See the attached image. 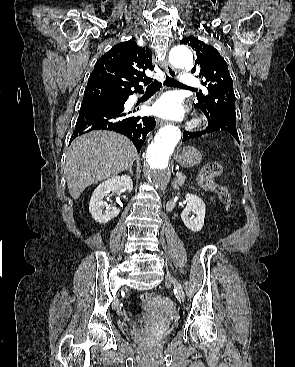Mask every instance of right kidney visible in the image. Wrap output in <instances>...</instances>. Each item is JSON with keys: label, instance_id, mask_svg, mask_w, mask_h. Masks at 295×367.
<instances>
[{"label": "right kidney", "instance_id": "obj_1", "mask_svg": "<svg viewBox=\"0 0 295 367\" xmlns=\"http://www.w3.org/2000/svg\"><path fill=\"white\" fill-rule=\"evenodd\" d=\"M132 189V179L127 175L114 176L99 184L94 190L89 203V211L93 219L100 224H105L117 217L120 212L117 207H111L107 211H103L104 207L108 206L104 201L105 196L110 192H131Z\"/></svg>", "mask_w": 295, "mask_h": 367}]
</instances>
